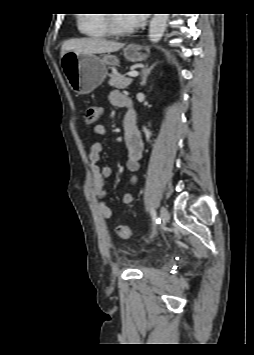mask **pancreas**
<instances>
[{"instance_id":"obj_1","label":"pancreas","mask_w":254,"mask_h":355,"mask_svg":"<svg viewBox=\"0 0 254 355\" xmlns=\"http://www.w3.org/2000/svg\"><path fill=\"white\" fill-rule=\"evenodd\" d=\"M109 77L110 80L108 84L115 88H127L132 83V79L125 78L118 72H112Z\"/></svg>"}]
</instances>
